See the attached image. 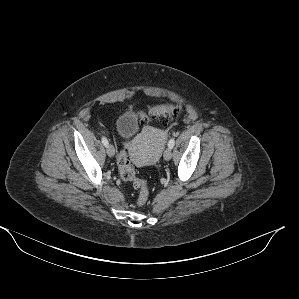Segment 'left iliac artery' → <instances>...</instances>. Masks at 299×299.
<instances>
[{"label":"left iliac artery","instance_id":"1","mask_svg":"<svg viewBox=\"0 0 299 299\" xmlns=\"http://www.w3.org/2000/svg\"><path fill=\"white\" fill-rule=\"evenodd\" d=\"M174 144H175V140L172 138L168 142V147L172 149L174 147Z\"/></svg>","mask_w":299,"mask_h":299}]
</instances>
